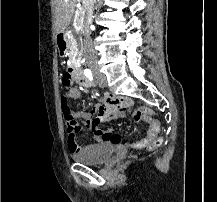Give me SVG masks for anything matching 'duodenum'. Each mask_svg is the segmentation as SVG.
I'll use <instances>...</instances> for the list:
<instances>
[{"label": "duodenum", "mask_w": 217, "mask_h": 202, "mask_svg": "<svg viewBox=\"0 0 217 202\" xmlns=\"http://www.w3.org/2000/svg\"><path fill=\"white\" fill-rule=\"evenodd\" d=\"M57 46H58L59 55L61 57H65L67 55L68 48H67L66 35L64 33H59L57 35ZM69 72L83 86L85 87L93 86V83L86 78L84 71L82 69L69 68Z\"/></svg>", "instance_id": "duodenum-1"}]
</instances>
